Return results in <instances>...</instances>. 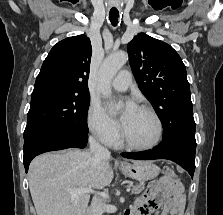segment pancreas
Listing matches in <instances>:
<instances>
[{
  "mask_svg": "<svg viewBox=\"0 0 223 215\" xmlns=\"http://www.w3.org/2000/svg\"><path fill=\"white\" fill-rule=\"evenodd\" d=\"M144 185H145V183L137 184V185H128V186L133 187L132 193H140V191H142V189H144Z\"/></svg>",
  "mask_w": 223,
  "mask_h": 215,
  "instance_id": "1",
  "label": "pancreas"
}]
</instances>
